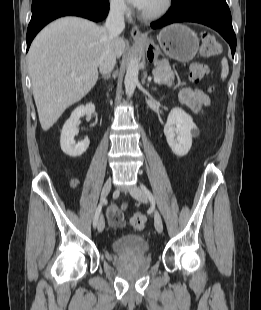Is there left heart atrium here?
<instances>
[{
  "instance_id": "obj_1",
  "label": "left heart atrium",
  "mask_w": 261,
  "mask_h": 310,
  "mask_svg": "<svg viewBox=\"0 0 261 310\" xmlns=\"http://www.w3.org/2000/svg\"><path fill=\"white\" fill-rule=\"evenodd\" d=\"M127 1L137 9L142 10L148 0H127Z\"/></svg>"
}]
</instances>
